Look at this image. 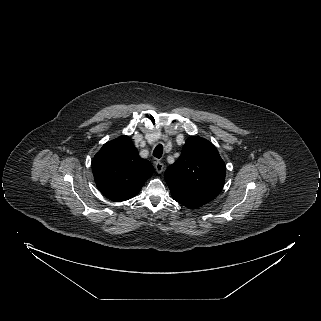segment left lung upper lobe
Listing matches in <instances>:
<instances>
[{
	"mask_svg": "<svg viewBox=\"0 0 321 321\" xmlns=\"http://www.w3.org/2000/svg\"><path fill=\"white\" fill-rule=\"evenodd\" d=\"M225 173V163L216 147L206 139L192 136L186 140L179 159L166 169L164 178L173 199L193 209L220 193Z\"/></svg>",
	"mask_w": 321,
	"mask_h": 321,
	"instance_id": "left-lung-upper-lobe-1",
	"label": "left lung upper lobe"
}]
</instances>
